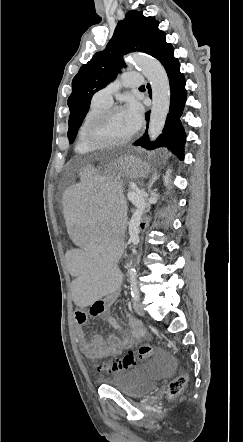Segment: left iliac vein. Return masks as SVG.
<instances>
[{"label": "left iliac vein", "mask_w": 243, "mask_h": 442, "mask_svg": "<svg viewBox=\"0 0 243 442\" xmlns=\"http://www.w3.org/2000/svg\"><path fill=\"white\" fill-rule=\"evenodd\" d=\"M133 308H134V311H135L136 314H138V315H143L144 314L142 306L139 303V301H134Z\"/></svg>", "instance_id": "obj_1"}]
</instances>
